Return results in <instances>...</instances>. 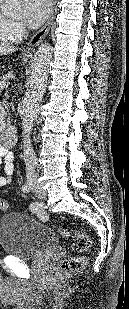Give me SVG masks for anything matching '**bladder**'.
Segmentation results:
<instances>
[{
  "instance_id": "bladder-1",
  "label": "bladder",
  "mask_w": 129,
  "mask_h": 309,
  "mask_svg": "<svg viewBox=\"0 0 129 309\" xmlns=\"http://www.w3.org/2000/svg\"><path fill=\"white\" fill-rule=\"evenodd\" d=\"M0 246L7 255L31 259L55 250L58 239L51 227L27 214L12 212L0 217Z\"/></svg>"
}]
</instances>
